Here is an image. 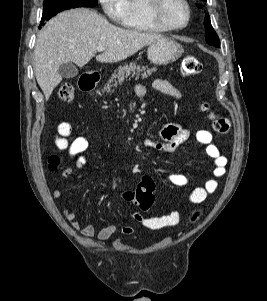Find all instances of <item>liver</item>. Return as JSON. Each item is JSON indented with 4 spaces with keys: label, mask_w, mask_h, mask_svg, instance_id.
I'll list each match as a JSON object with an SVG mask.
<instances>
[{
    "label": "liver",
    "mask_w": 267,
    "mask_h": 301,
    "mask_svg": "<svg viewBox=\"0 0 267 301\" xmlns=\"http://www.w3.org/2000/svg\"><path fill=\"white\" fill-rule=\"evenodd\" d=\"M161 35L116 27L96 11L77 8L52 18L36 40L34 70L46 100L62 80L58 68L64 63L86 65L98 46L105 47L96 57L101 63L122 61L150 45Z\"/></svg>",
    "instance_id": "6515ba94"
}]
</instances>
